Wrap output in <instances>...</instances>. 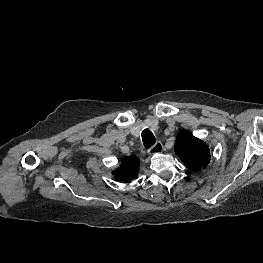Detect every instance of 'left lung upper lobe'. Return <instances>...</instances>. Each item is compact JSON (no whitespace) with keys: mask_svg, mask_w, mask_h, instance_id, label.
<instances>
[{"mask_svg":"<svg viewBox=\"0 0 263 263\" xmlns=\"http://www.w3.org/2000/svg\"><path fill=\"white\" fill-rule=\"evenodd\" d=\"M175 152L182 162L193 171L206 167L210 162L209 146L187 130L178 134Z\"/></svg>","mask_w":263,"mask_h":263,"instance_id":"left-lung-upper-lobe-1","label":"left lung upper lobe"}]
</instances>
